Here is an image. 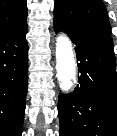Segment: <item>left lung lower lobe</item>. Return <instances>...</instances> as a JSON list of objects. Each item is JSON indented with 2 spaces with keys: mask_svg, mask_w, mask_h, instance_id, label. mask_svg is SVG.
I'll list each match as a JSON object with an SVG mask.
<instances>
[{
  "mask_svg": "<svg viewBox=\"0 0 117 136\" xmlns=\"http://www.w3.org/2000/svg\"><path fill=\"white\" fill-rule=\"evenodd\" d=\"M76 45L78 85L59 95L60 136H117V74L110 35L89 31L54 17Z\"/></svg>",
  "mask_w": 117,
  "mask_h": 136,
  "instance_id": "0a47b994",
  "label": "left lung lower lobe"
}]
</instances>
